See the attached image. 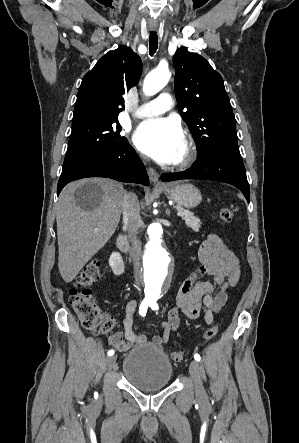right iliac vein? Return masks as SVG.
<instances>
[{"instance_id": "63e3f726", "label": "right iliac vein", "mask_w": 299, "mask_h": 443, "mask_svg": "<svg viewBox=\"0 0 299 443\" xmlns=\"http://www.w3.org/2000/svg\"><path fill=\"white\" fill-rule=\"evenodd\" d=\"M116 362V356L109 357L106 361V367L111 368Z\"/></svg>"}]
</instances>
